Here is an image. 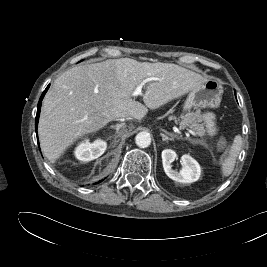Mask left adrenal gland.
I'll list each match as a JSON object with an SVG mask.
<instances>
[{"mask_svg": "<svg viewBox=\"0 0 267 267\" xmlns=\"http://www.w3.org/2000/svg\"><path fill=\"white\" fill-rule=\"evenodd\" d=\"M162 130V132H164V133H161L160 135L162 136V140L163 141H167V140H171V141H173L175 138H177V139H179V137L177 136V135H174V134H172V133H169V132H167L165 129H161ZM170 136V137H169ZM189 141L191 142V143H196L194 140H190L189 139Z\"/></svg>", "mask_w": 267, "mask_h": 267, "instance_id": "1", "label": "left adrenal gland"}]
</instances>
